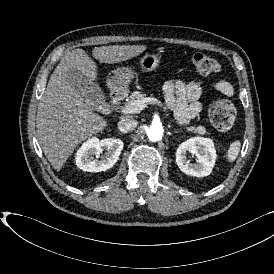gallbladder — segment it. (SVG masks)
Listing matches in <instances>:
<instances>
[{"label":"gallbladder","mask_w":274,"mask_h":274,"mask_svg":"<svg viewBox=\"0 0 274 274\" xmlns=\"http://www.w3.org/2000/svg\"><path fill=\"white\" fill-rule=\"evenodd\" d=\"M65 79L82 96L92 114L101 116L106 113L108 104L105 100V94L97 82H92L89 74L82 72L77 67H72L67 70Z\"/></svg>","instance_id":"obj_1"}]
</instances>
